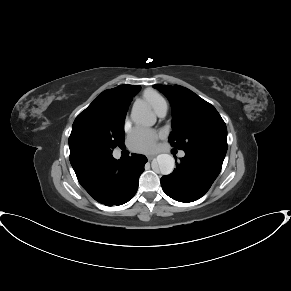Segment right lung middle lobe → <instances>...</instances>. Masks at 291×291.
Here are the masks:
<instances>
[{"label":"right lung middle lobe","instance_id":"dd1d6c3e","mask_svg":"<svg viewBox=\"0 0 291 291\" xmlns=\"http://www.w3.org/2000/svg\"><path fill=\"white\" fill-rule=\"evenodd\" d=\"M125 112L106 105L84 113L74 121L69 137L70 153L102 152L123 145Z\"/></svg>","mask_w":291,"mask_h":291}]
</instances>
